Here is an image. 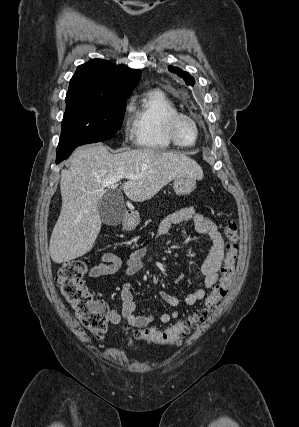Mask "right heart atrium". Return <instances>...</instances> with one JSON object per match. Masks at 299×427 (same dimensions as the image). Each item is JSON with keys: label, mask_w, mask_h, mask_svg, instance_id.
<instances>
[{"label": "right heart atrium", "mask_w": 299, "mask_h": 427, "mask_svg": "<svg viewBox=\"0 0 299 427\" xmlns=\"http://www.w3.org/2000/svg\"><path fill=\"white\" fill-rule=\"evenodd\" d=\"M128 109H129V105L128 104H126V106H125V111H128ZM125 132H126V134L127 135H129V136H131L132 135V131H131V129L130 128H126L125 129Z\"/></svg>", "instance_id": "1"}]
</instances>
